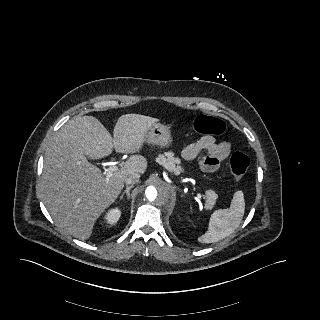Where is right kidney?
<instances>
[{
  "mask_svg": "<svg viewBox=\"0 0 320 320\" xmlns=\"http://www.w3.org/2000/svg\"><path fill=\"white\" fill-rule=\"evenodd\" d=\"M120 215H121V211L118 208H114L108 211V213H106L105 219L107 223L112 225L119 220Z\"/></svg>",
  "mask_w": 320,
  "mask_h": 320,
  "instance_id": "right-kidney-1",
  "label": "right kidney"
}]
</instances>
